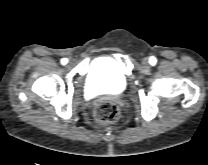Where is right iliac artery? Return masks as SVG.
<instances>
[{
  "instance_id": "right-iliac-artery-1",
  "label": "right iliac artery",
  "mask_w": 208,
  "mask_h": 165,
  "mask_svg": "<svg viewBox=\"0 0 208 165\" xmlns=\"http://www.w3.org/2000/svg\"><path fill=\"white\" fill-rule=\"evenodd\" d=\"M67 62H68V60H67L66 58L61 59V63H62L63 65H65Z\"/></svg>"
}]
</instances>
